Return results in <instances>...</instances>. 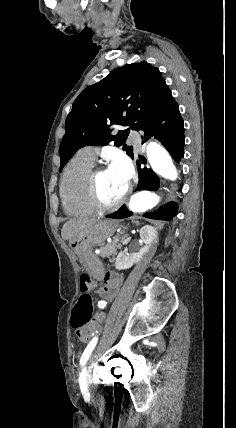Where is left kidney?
Returning <instances> with one entry per match:
<instances>
[{
    "label": "left kidney",
    "instance_id": "obj_1",
    "mask_svg": "<svg viewBox=\"0 0 236 428\" xmlns=\"http://www.w3.org/2000/svg\"><path fill=\"white\" fill-rule=\"evenodd\" d=\"M140 238L143 240L145 246L140 248L137 254H125V252H120L115 262L116 270H128V268H132L133 264L140 262L142 256L149 252L151 244H153L155 238H157L156 228H152V226H143L140 230Z\"/></svg>",
    "mask_w": 236,
    "mask_h": 428
}]
</instances>
